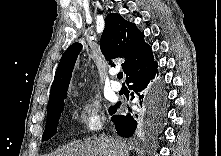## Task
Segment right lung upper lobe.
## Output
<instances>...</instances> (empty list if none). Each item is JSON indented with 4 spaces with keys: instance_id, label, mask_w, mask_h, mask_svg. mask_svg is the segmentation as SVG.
Instances as JSON below:
<instances>
[{
    "instance_id": "cb5924a9",
    "label": "right lung upper lobe",
    "mask_w": 221,
    "mask_h": 156,
    "mask_svg": "<svg viewBox=\"0 0 221 156\" xmlns=\"http://www.w3.org/2000/svg\"><path fill=\"white\" fill-rule=\"evenodd\" d=\"M81 48L80 43H74L64 52L52 83L48 106L67 94L74 64ZM101 51L112 66L114 63H111V59L125 58L123 70L126 79L154 61L151 47L144 41V34L134 23L124 20L116 13L109 14L105 19Z\"/></svg>"
}]
</instances>
